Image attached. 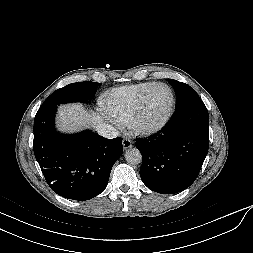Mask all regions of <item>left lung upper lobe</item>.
I'll return each mask as SVG.
<instances>
[{
    "instance_id": "obj_1",
    "label": "left lung upper lobe",
    "mask_w": 253,
    "mask_h": 253,
    "mask_svg": "<svg viewBox=\"0 0 253 253\" xmlns=\"http://www.w3.org/2000/svg\"><path fill=\"white\" fill-rule=\"evenodd\" d=\"M167 81L171 84V86H173L176 92L177 97L176 109L187 106L193 102L201 101L197 92L189 85L174 79H167Z\"/></svg>"
}]
</instances>
